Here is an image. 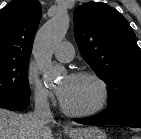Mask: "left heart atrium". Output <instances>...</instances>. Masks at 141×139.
I'll use <instances>...</instances> for the list:
<instances>
[{"label": "left heart atrium", "instance_id": "obj_1", "mask_svg": "<svg viewBox=\"0 0 141 139\" xmlns=\"http://www.w3.org/2000/svg\"><path fill=\"white\" fill-rule=\"evenodd\" d=\"M58 95L62 99L64 96V89L63 88H58Z\"/></svg>", "mask_w": 141, "mask_h": 139}]
</instances>
